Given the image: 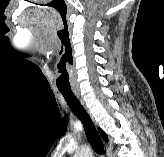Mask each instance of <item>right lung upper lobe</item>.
Instances as JSON below:
<instances>
[{"label": "right lung upper lobe", "mask_w": 164, "mask_h": 157, "mask_svg": "<svg viewBox=\"0 0 164 157\" xmlns=\"http://www.w3.org/2000/svg\"><path fill=\"white\" fill-rule=\"evenodd\" d=\"M98 130H99L102 138L104 139V141L107 142L108 141V136L106 135V133L102 129H100V128H98Z\"/></svg>", "instance_id": "1"}]
</instances>
